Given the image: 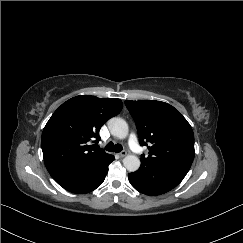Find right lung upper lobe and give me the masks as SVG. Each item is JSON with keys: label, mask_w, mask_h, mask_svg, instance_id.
<instances>
[{"label": "right lung upper lobe", "mask_w": 243, "mask_h": 243, "mask_svg": "<svg viewBox=\"0 0 243 243\" xmlns=\"http://www.w3.org/2000/svg\"><path fill=\"white\" fill-rule=\"evenodd\" d=\"M122 101L90 95L73 97L51 116L42 133V151L52 178L82 170L107 156L89 142H98L101 126L120 113Z\"/></svg>", "instance_id": "obj_1"}]
</instances>
